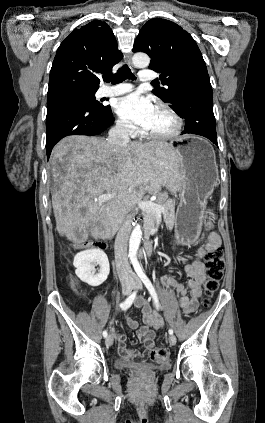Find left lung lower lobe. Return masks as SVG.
I'll use <instances>...</instances> for the list:
<instances>
[{"mask_svg": "<svg viewBox=\"0 0 265 423\" xmlns=\"http://www.w3.org/2000/svg\"><path fill=\"white\" fill-rule=\"evenodd\" d=\"M174 111L185 119L183 133L197 134L217 144L213 93L208 73H199L185 80L177 89Z\"/></svg>", "mask_w": 265, "mask_h": 423, "instance_id": "1", "label": "left lung lower lobe"}]
</instances>
